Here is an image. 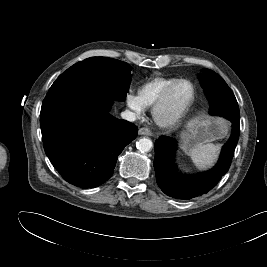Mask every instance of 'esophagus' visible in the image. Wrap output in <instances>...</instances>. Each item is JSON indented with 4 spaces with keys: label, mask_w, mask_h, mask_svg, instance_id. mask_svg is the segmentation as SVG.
<instances>
[{
    "label": "esophagus",
    "mask_w": 267,
    "mask_h": 267,
    "mask_svg": "<svg viewBox=\"0 0 267 267\" xmlns=\"http://www.w3.org/2000/svg\"><path fill=\"white\" fill-rule=\"evenodd\" d=\"M139 135L150 136L152 133L148 128H140L138 131Z\"/></svg>",
    "instance_id": "obj_1"
}]
</instances>
